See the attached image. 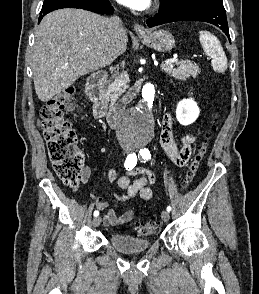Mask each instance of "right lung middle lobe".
<instances>
[{"mask_svg":"<svg viewBox=\"0 0 259 294\" xmlns=\"http://www.w3.org/2000/svg\"><path fill=\"white\" fill-rule=\"evenodd\" d=\"M60 1L86 2L90 0H44L41 11L48 9L50 6Z\"/></svg>","mask_w":259,"mask_h":294,"instance_id":"1","label":"right lung middle lobe"}]
</instances>
